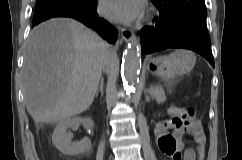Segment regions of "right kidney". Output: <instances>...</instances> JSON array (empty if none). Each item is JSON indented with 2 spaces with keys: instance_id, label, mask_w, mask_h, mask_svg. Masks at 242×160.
<instances>
[{
  "instance_id": "1",
  "label": "right kidney",
  "mask_w": 242,
  "mask_h": 160,
  "mask_svg": "<svg viewBox=\"0 0 242 160\" xmlns=\"http://www.w3.org/2000/svg\"><path fill=\"white\" fill-rule=\"evenodd\" d=\"M82 124L86 129H92L94 122L91 118L74 117L61 121L52 135L55 147L65 155H80L87 152L91 147V140L87 137L77 143H71L73 135L67 132L68 128H75Z\"/></svg>"
}]
</instances>
